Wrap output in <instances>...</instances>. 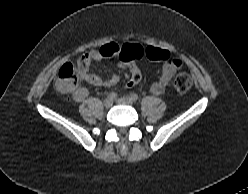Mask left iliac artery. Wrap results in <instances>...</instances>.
Segmentation results:
<instances>
[{
	"mask_svg": "<svg viewBox=\"0 0 248 194\" xmlns=\"http://www.w3.org/2000/svg\"><path fill=\"white\" fill-rule=\"evenodd\" d=\"M138 98H139L138 95L135 94V93H133V94L131 95V99H132L133 101H137Z\"/></svg>",
	"mask_w": 248,
	"mask_h": 194,
	"instance_id": "44dca946",
	"label": "left iliac artery"
}]
</instances>
